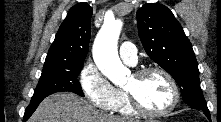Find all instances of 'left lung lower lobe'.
<instances>
[{
  "label": "left lung lower lobe",
  "instance_id": "1",
  "mask_svg": "<svg viewBox=\"0 0 221 122\" xmlns=\"http://www.w3.org/2000/svg\"><path fill=\"white\" fill-rule=\"evenodd\" d=\"M190 107L203 111L205 113V115L207 116V118L210 120V112H209L206 104L190 105Z\"/></svg>",
  "mask_w": 221,
  "mask_h": 122
}]
</instances>
